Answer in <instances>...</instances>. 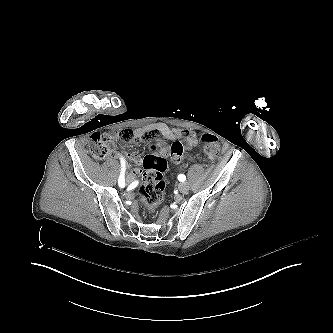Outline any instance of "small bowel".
<instances>
[{"instance_id": "c3829d8e", "label": "small bowel", "mask_w": 333, "mask_h": 333, "mask_svg": "<svg viewBox=\"0 0 333 333\" xmlns=\"http://www.w3.org/2000/svg\"><path fill=\"white\" fill-rule=\"evenodd\" d=\"M145 131H156L159 133V135L163 136L166 139L169 140H177L179 138H182L185 143L186 147L188 149L192 148L195 145V136L187 130L178 129V128H171L165 123H153L150 124L138 131V133H143ZM121 149L124 147L122 144L119 146ZM128 157H131L132 160L138 161L137 156L130 155L128 153H123L119 156L120 160L125 161ZM111 159H117L118 153L117 152H111L110 153ZM184 156L173 158L172 160L180 164L183 161ZM142 174V171L139 167H134L127 175H126V181L129 185H136L137 178Z\"/></svg>"}]
</instances>
